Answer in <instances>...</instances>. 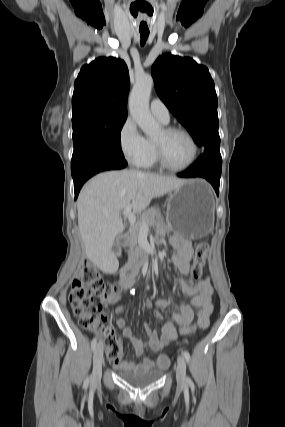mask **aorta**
Here are the masks:
<instances>
[{"label": "aorta", "instance_id": "aorta-1", "mask_svg": "<svg viewBox=\"0 0 285 427\" xmlns=\"http://www.w3.org/2000/svg\"><path fill=\"white\" fill-rule=\"evenodd\" d=\"M153 83V78L149 75L138 76L129 97L130 114L147 137H154L160 131V125L149 110Z\"/></svg>", "mask_w": 285, "mask_h": 427}]
</instances>
